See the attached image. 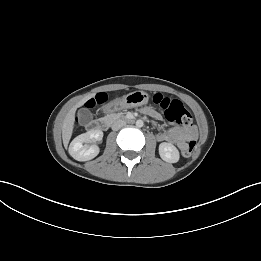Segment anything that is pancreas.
Returning <instances> with one entry per match:
<instances>
[{
  "instance_id": "obj_1",
  "label": "pancreas",
  "mask_w": 261,
  "mask_h": 261,
  "mask_svg": "<svg viewBox=\"0 0 261 261\" xmlns=\"http://www.w3.org/2000/svg\"><path fill=\"white\" fill-rule=\"evenodd\" d=\"M114 118V115H109L106 117V119H113Z\"/></svg>"
}]
</instances>
